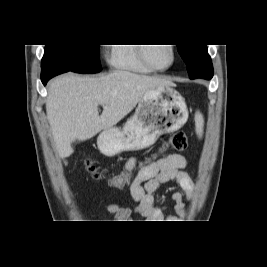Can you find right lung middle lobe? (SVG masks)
<instances>
[{"label":"right lung middle lobe","instance_id":"right-lung-middle-lobe-1","mask_svg":"<svg viewBox=\"0 0 267 267\" xmlns=\"http://www.w3.org/2000/svg\"><path fill=\"white\" fill-rule=\"evenodd\" d=\"M99 45H46L41 68L58 67L76 73H98Z\"/></svg>","mask_w":267,"mask_h":267}]
</instances>
